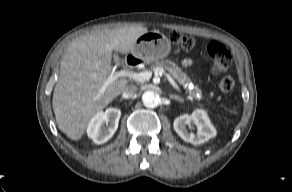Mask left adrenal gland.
I'll return each mask as SVG.
<instances>
[{"label":"left adrenal gland","mask_w":292,"mask_h":192,"mask_svg":"<svg viewBox=\"0 0 292 192\" xmlns=\"http://www.w3.org/2000/svg\"><path fill=\"white\" fill-rule=\"evenodd\" d=\"M169 97H170V99H174L176 101L183 102V99L181 97H179L178 95L171 94Z\"/></svg>","instance_id":"1"}]
</instances>
